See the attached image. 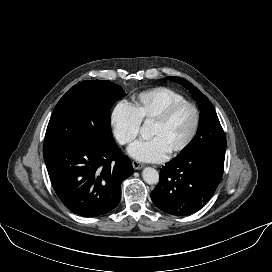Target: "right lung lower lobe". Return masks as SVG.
<instances>
[{
  "label": "right lung lower lobe",
  "mask_w": 272,
  "mask_h": 272,
  "mask_svg": "<svg viewBox=\"0 0 272 272\" xmlns=\"http://www.w3.org/2000/svg\"><path fill=\"white\" fill-rule=\"evenodd\" d=\"M53 188L72 212L95 217L113 210L121 198V183L134 170L115 141L98 145L70 141L44 153Z\"/></svg>",
  "instance_id": "right-lung-lower-lobe-1"
}]
</instances>
